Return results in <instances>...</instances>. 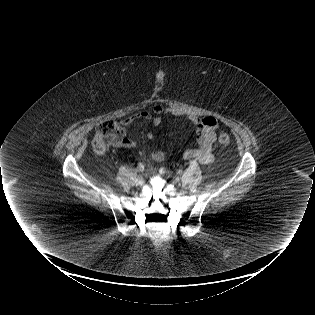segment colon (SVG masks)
<instances>
[{
  "label": "colon",
  "instance_id": "1",
  "mask_svg": "<svg viewBox=\"0 0 315 315\" xmlns=\"http://www.w3.org/2000/svg\"><path fill=\"white\" fill-rule=\"evenodd\" d=\"M126 140V130L124 127L113 121H104L97 126L94 145L97 152L102 153L112 146H120ZM231 142L227 133H221L218 136V143L222 146H228Z\"/></svg>",
  "mask_w": 315,
  "mask_h": 315
}]
</instances>
